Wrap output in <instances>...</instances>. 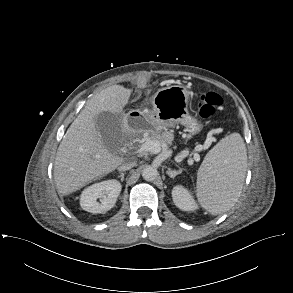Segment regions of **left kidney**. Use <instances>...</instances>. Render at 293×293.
Instances as JSON below:
<instances>
[{
    "label": "left kidney",
    "instance_id": "obj_1",
    "mask_svg": "<svg viewBox=\"0 0 293 293\" xmlns=\"http://www.w3.org/2000/svg\"><path fill=\"white\" fill-rule=\"evenodd\" d=\"M174 204L181 210L194 211L198 208L190 192L183 186H175L172 190Z\"/></svg>",
    "mask_w": 293,
    "mask_h": 293
}]
</instances>
